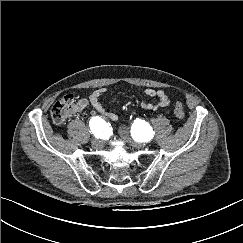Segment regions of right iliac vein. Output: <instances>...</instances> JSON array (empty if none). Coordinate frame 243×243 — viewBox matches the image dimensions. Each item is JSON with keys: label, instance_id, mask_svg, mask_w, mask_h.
Returning a JSON list of instances; mask_svg holds the SVG:
<instances>
[{"label": "right iliac vein", "instance_id": "right-iliac-vein-1", "mask_svg": "<svg viewBox=\"0 0 243 243\" xmlns=\"http://www.w3.org/2000/svg\"><path fill=\"white\" fill-rule=\"evenodd\" d=\"M100 143H101V141L99 139H93V141H92V145L94 147L100 146Z\"/></svg>", "mask_w": 243, "mask_h": 243}]
</instances>
